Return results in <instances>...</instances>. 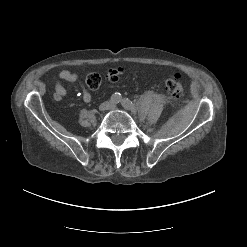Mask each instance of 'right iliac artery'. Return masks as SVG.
Instances as JSON below:
<instances>
[{
	"mask_svg": "<svg viewBox=\"0 0 247 247\" xmlns=\"http://www.w3.org/2000/svg\"><path fill=\"white\" fill-rule=\"evenodd\" d=\"M121 100H122L121 94L118 93V92L114 93V94L111 96V102H112V103H119V102H121Z\"/></svg>",
	"mask_w": 247,
	"mask_h": 247,
	"instance_id": "1",
	"label": "right iliac artery"
}]
</instances>
